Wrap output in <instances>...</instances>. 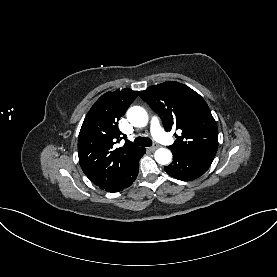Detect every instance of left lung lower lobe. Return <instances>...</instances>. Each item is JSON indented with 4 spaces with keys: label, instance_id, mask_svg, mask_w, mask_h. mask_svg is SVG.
<instances>
[{
    "label": "left lung lower lobe",
    "instance_id": "left-lung-lower-lobe-1",
    "mask_svg": "<svg viewBox=\"0 0 277 277\" xmlns=\"http://www.w3.org/2000/svg\"><path fill=\"white\" fill-rule=\"evenodd\" d=\"M173 162L164 167L172 177L190 181L203 175L210 167L216 153L172 151Z\"/></svg>",
    "mask_w": 277,
    "mask_h": 277
}]
</instances>
